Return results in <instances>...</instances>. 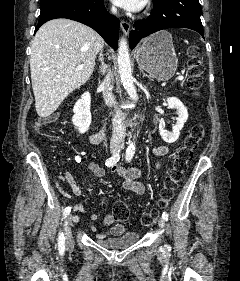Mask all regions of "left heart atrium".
Returning <instances> with one entry per match:
<instances>
[{"label": "left heart atrium", "instance_id": "1", "mask_svg": "<svg viewBox=\"0 0 240 281\" xmlns=\"http://www.w3.org/2000/svg\"><path fill=\"white\" fill-rule=\"evenodd\" d=\"M117 6L128 10V11H137L139 10L144 3V0H112Z\"/></svg>", "mask_w": 240, "mask_h": 281}]
</instances>
